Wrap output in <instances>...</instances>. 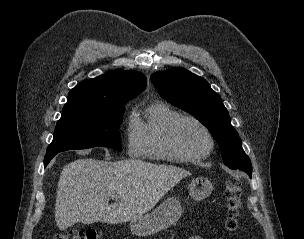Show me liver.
I'll return each instance as SVG.
<instances>
[{"mask_svg": "<svg viewBox=\"0 0 304 239\" xmlns=\"http://www.w3.org/2000/svg\"><path fill=\"white\" fill-rule=\"evenodd\" d=\"M190 172L141 160L107 162L92 158L66 164L60 173L55 222L60 230L77 222L131 221L150 211ZM117 202L109 204V198Z\"/></svg>", "mask_w": 304, "mask_h": 239, "instance_id": "obj_1", "label": "liver"}]
</instances>
